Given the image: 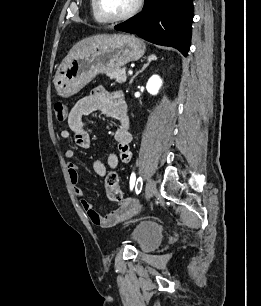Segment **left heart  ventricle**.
Masks as SVG:
<instances>
[{"mask_svg":"<svg viewBox=\"0 0 261 306\" xmlns=\"http://www.w3.org/2000/svg\"><path fill=\"white\" fill-rule=\"evenodd\" d=\"M136 0H101L104 11L111 16H120L127 13Z\"/></svg>","mask_w":261,"mask_h":306,"instance_id":"b2bd125f","label":"left heart ventricle"}]
</instances>
